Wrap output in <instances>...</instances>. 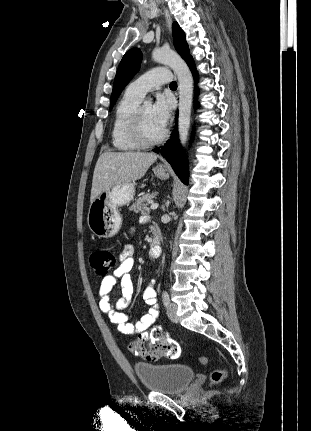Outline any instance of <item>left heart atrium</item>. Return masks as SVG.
Returning <instances> with one entry per match:
<instances>
[{
  "mask_svg": "<svg viewBox=\"0 0 311 431\" xmlns=\"http://www.w3.org/2000/svg\"><path fill=\"white\" fill-rule=\"evenodd\" d=\"M174 108L173 98L169 94H160L157 96L153 106L152 115L155 122L165 129Z\"/></svg>",
  "mask_w": 311,
  "mask_h": 431,
  "instance_id": "left-heart-atrium-1",
  "label": "left heart atrium"
}]
</instances>
